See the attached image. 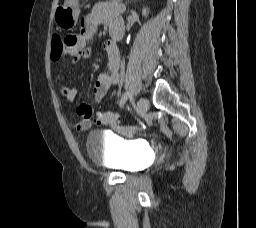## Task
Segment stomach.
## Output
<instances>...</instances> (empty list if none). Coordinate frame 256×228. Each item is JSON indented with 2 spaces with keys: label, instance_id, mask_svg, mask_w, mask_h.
Listing matches in <instances>:
<instances>
[{
  "label": "stomach",
  "instance_id": "0dacf381",
  "mask_svg": "<svg viewBox=\"0 0 256 228\" xmlns=\"http://www.w3.org/2000/svg\"><path fill=\"white\" fill-rule=\"evenodd\" d=\"M80 0H66L54 13V21L60 29L70 30L75 27L80 14Z\"/></svg>",
  "mask_w": 256,
  "mask_h": 228
}]
</instances>
